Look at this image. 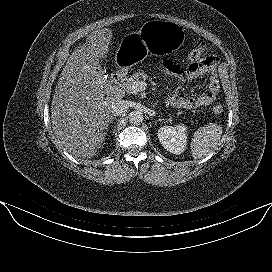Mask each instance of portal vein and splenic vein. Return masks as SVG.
<instances>
[{
  "label": "portal vein and splenic vein",
  "instance_id": "18ae733b",
  "mask_svg": "<svg viewBox=\"0 0 272 272\" xmlns=\"http://www.w3.org/2000/svg\"><path fill=\"white\" fill-rule=\"evenodd\" d=\"M127 90L131 91V93L143 91L146 89L147 84L144 81L122 84Z\"/></svg>",
  "mask_w": 272,
  "mask_h": 272
}]
</instances>
